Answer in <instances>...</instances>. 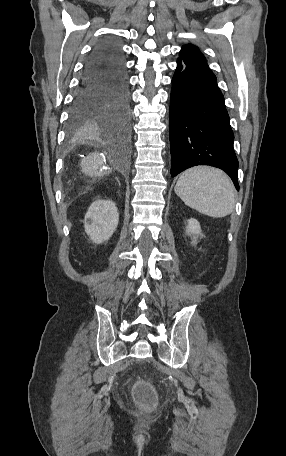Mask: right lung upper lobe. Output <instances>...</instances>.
<instances>
[{
    "mask_svg": "<svg viewBox=\"0 0 286 456\" xmlns=\"http://www.w3.org/2000/svg\"><path fill=\"white\" fill-rule=\"evenodd\" d=\"M102 48H103V52L105 54H108L109 58H114L118 53L116 48L110 44H104V45H102Z\"/></svg>",
    "mask_w": 286,
    "mask_h": 456,
    "instance_id": "right-lung-upper-lobe-1",
    "label": "right lung upper lobe"
}]
</instances>
